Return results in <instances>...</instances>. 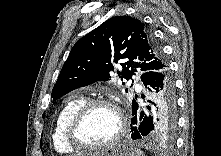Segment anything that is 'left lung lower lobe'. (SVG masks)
Segmentation results:
<instances>
[{
  "label": "left lung lower lobe",
  "mask_w": 221,
  "mask_h": 156,
  "mask_svg": "<svg viewBox=\"0 0 221 156\" xmlns=\"http://www.w3.org/2000/svg\"><path fill=\"white\" fill-rule=\"evenodd\" d=\"M141 81L142 100L132 101L131 138L173 137L177 123L176 93L169 66L143 73Z\"/></svg>",
  "instance_id": "left-lung-lower-lobe-1"
}]
</instances>
